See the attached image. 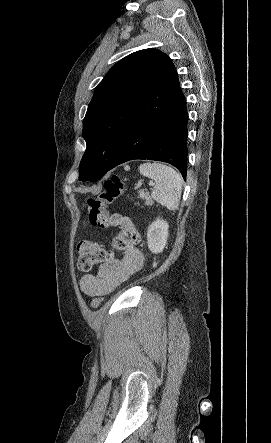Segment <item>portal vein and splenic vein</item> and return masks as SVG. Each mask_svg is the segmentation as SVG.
<instances>
[{
	"mask_svg": "<svg viewBox=\"0 0 271 443\" xmlns=\"http://www.w3.org/2000/svg\"><path fill=\"white\" fill-rule=\"evenodd\" d=\"M149 186H154L153 182H149Z\"/></svg>",
	"mask_w": 271,
	"mask_h": 443,
	"instance_id": "obj_1",
	"label": "portal vein and splenic vein"
}]
</instances>
